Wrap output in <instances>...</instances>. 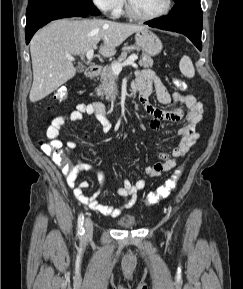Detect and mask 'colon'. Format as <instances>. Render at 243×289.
Returning a JSON list of instances; mask_svg holds the SVG:
<instances>
[{
  "label": "colon",
  "mask_w": 243,
  "mask_h": 289,
  "mask_svg": "<svg viewBox=\"0 0 243 289\" xmlns=\"http://www.w3.org/2000/svg\"><path fill=\"white\" fill-rule=\"evenodd\" d=\"M174 85L180 89L186 87L185 83L179 79H174ZM68 97L67 91L65 88H59L54 93V98L58 101H65ZM62 144L60 141H50L48 143H41V148L49 155L53 161L62 166L64 169L68 168L67 158L63 155L61 151ZM182 175V168H179L174 172V174L165 181L164 184L159 186L154 192H151L147 195L145 203L148 206L157 204L160 200L168 197L176 188L177 182Z\"/></svg>",
  "instance_id": "colon-1"
}]
</instances>
